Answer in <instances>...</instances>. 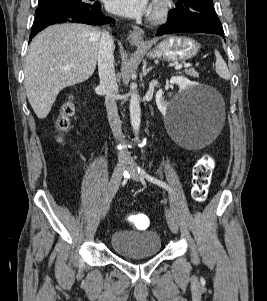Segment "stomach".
<instances>
[{
  "instance_id": "obj_1",
  "label": "stomach",
  "mask_w": 267,
  "mask_h": 301,
  "mask_svg": "<svg viewBox=\"0 0 267 301\" xmlns=\"http://www.w3.org/2000/svg\"><path fill=\"white\" fill-rule=\"evenodd\" d=\"M141 48V47H138ZM200 44L188 37L168 36L147 53L150 58L185 61L198 54Z\"/></svg>"
}]
</instances>
